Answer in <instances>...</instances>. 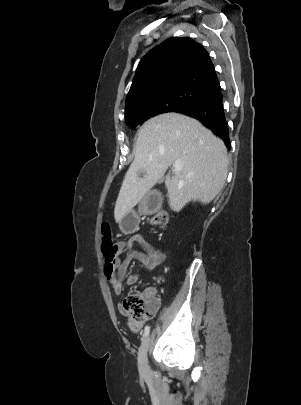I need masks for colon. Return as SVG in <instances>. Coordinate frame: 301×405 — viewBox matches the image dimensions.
I'll return each instance as SVG.
<instances>
[{
    "label": "colon",
    "mask_w": 301,
    "mask_h": 405,
    "mask_svg": "<svg viewBox=\"0 0 301 405\" xmlns=\"http://www.w3.org/2000/svg\"><path fill=\"white\" fill-rule=\"evenodd\" d=\"M167 223L168 215L162 210L160 213H154L150 219V224L155 229H164ZM101 239L105 263L111 264L116 248L110 225L106 222L101 227ZM157 307L156 298L148 293L131 292L122 303V310L128 318V324L132 331H139L144 322L155 315Z\"/></svg>",
    "instance_id": "colon-1"
}]
</instances>
